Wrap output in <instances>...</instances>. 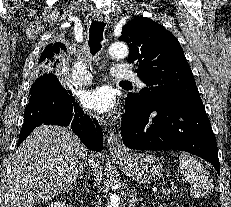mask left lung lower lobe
<instances>
[{"label": "left lung lower lobe", "mask_w": 231, "mask_h": 207, "mask_svg": "<svg viewBox=\"0 0 231 207\" xmlns=\"http://www.w3.org/2000/svg\"><path fill=\"white\" fill-rule=\"evenodd\" d=\"M121 136L130 149L190 152L220 173L216 139L201 100L143 109L125 104Z\"/></svg>", "instance_id": "0a47b994"}]
</instances>
